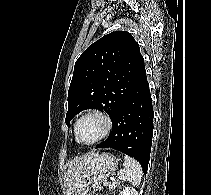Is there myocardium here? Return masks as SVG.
Listing matches in <instances>:
<instances>
[{
  "label": "myocardium",
  "mask_w": 211,
  "mask_h": 195,
  "mask_svg": "<svg viewBox=\"0 0 211 195\" xmlns=\"http://www.w3.org/2000/svg\"><path fill=\"white\" fill-rule=\"evenodd\" d=\"M91 116H96V117L101 119V121L103 122V126H104L103 127V131L93 141H91V142H83L79 138V128H80V125L83 122V120H85L86 118L91 117ZM112 127H113V121H112L111 116L108 113H106V112H104L102 110H90V111L84 113L77 120V122L75 124V138H76L77 142L80 143V144H83V145H86V146L94 145V144L99 143L103 139H105L110 134V132L112 130Z\"/></svg>",
  "instance_id": "f54148a6"
}]
</instances>
